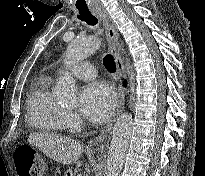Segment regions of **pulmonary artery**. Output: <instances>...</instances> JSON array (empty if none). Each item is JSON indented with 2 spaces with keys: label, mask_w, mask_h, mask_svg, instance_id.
I'll use <instances>...</instances> for the list:
<instances>
[{
  "label": "pulmonary artery",
  "mask_w": 205,
  "mask_h": 176,
  "mask_svg": "<svg viewBox=\"0 0 205 176\" xmlns=\"http://www.w3.org/2000/svg\"><path fill=\"white\" fill-rule=\"evenodd\" d=\"M58 72H62V69H59ZM72 74L81 79H93L96 76V70L93 65L80 61L75 63L71 67Z\"/></svg>",
  "instance_id": "e3ab8cb5"
}]
</instances>
